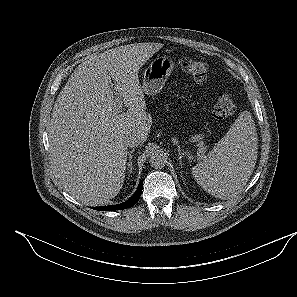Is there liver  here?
Returning <instances> with one entry per match:
<instances>
[{"instance_id": "obj_1", "label": "liver", "mask_w": 297, "mask_h": 297, "mask_svg": "<svg viewBox=\"0 0 297 297\" xmlns=\"http://www.w3.org/2000/svg\"><path fill=\"white\" fill-rule=\"evenodd\" d=\"M162 47L136 43L91 56L78 65L55 101L48 127L54 174L84 205L105 204L121 190L125 137L147 139L152 118L138 71ZM114 93L128 108L126 113L114 109Z\"/></svg>"}]
</instances>
